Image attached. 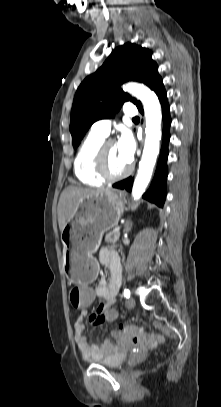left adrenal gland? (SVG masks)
I'll list each match as a JSON object with an SVG mask.
<instances>
[{
    "label": "left adrenal gland",
    "instance_id": "1",
    "mask_svg": "<svg viewBox=\"0 0 221 407\" xmlns=\"http://www.w3.org/2000/svg\"><path fill=\"white\" fill-rule=\"evenodd\" d=\"M131 228H132V223H130L129 221H127L126 223H125V231L126 232H129L130 230H131Z\"/></svg>",
    "mask_w": 221,
    "mask_h": 407
}]
</instances>
